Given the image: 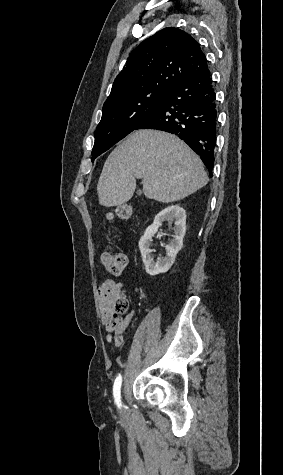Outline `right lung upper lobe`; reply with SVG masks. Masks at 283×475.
Here are the masks:
<instances>
[{
	"label": "right lung upper lobe",
	"mask_w": 283,
	"mask_h": 475,
	"mask_svg": "<svg viewBox=\"0 0 283 475\" xmlns=\"http://www.w3.org/2000/svg\"><path fill=\"white\" fill-rule=\"evenodd\" d=\"M209 72L197 41L180 29L165 28L132 51L104 105L147 93L169 92L177 84Z\"/></svg>",
	"instance_id": "obj_1"
}]
</instances>
